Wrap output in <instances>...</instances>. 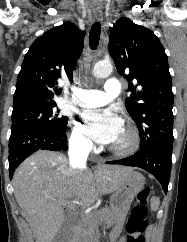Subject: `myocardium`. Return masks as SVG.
Segmentation results:
<instances>
[{"mask_svg":"<svg viewBox=\"0 0 187 242\" xmlns=\"http://www.w3.org/2000/svg\"><path fill=\"white\" fill-rule=\"evenodd\" d=\"M122 123L130 135V142L123 148H115L111 146L109 147V151L117 156H128L132 155L140 148L141 136L137 125L133 121L125 118L122 120Z\"/></svg>","mask_w":187,"mask_h":242,"instance_id":"f54148a6","label":"myocardium"}]
</instances>
